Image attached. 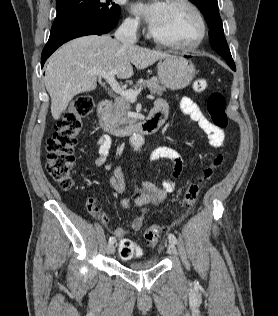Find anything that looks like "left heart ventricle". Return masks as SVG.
<instances>
[{"label": "left heart ventricle", "instance_id": "b2bd125f", "mask_svg": "<svg viewBox=\"0 0 278 316\" xmlns=\"http://www.w3.org/2000/svg\"><path fill=\"white\" fill-rule=\"evenodd\" d=\"M152 32L164 41L186 44L196 38L198 23L187 7L167 3L162 18Z\"/></svg>", "mask_w": 278, "mask_h": 316}]
</instances>
